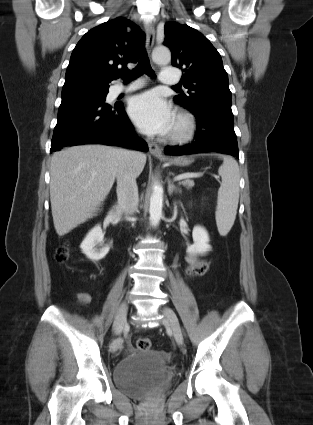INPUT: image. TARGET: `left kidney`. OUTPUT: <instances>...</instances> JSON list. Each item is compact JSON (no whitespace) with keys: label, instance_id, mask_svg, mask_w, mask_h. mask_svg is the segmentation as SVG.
Masks as SVG:
<instances>
[{"label":"left kidney","instance_id":"1","mask_svg":"<svg viewBox=\"0 0 313 425\" xmlns=\"http://www.w3.org/2000/svg\"><path fill=\"white\" fill-rule=\"evenodd\" d=\"M194 243L187 247L190 255L205 254L211 249L207 231L201 226H195L192 232Z\"/></svg>","mask_w":313,"mask_h":425}]
</instances>
